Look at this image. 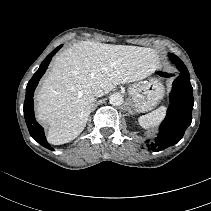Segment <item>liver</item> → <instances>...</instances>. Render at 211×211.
<instances>
[{
  "label": "liver",
  "instance_id": "liver-1",
  "mask_svg": "<svg viewBox=\"0 0 211 211\" xmlns=\"http://www.w3.org/2000/svg\"><path fill=\"white\" fill-rule=\"evenodd\" d=\"M158 69L151 48L82 41L59 54L36 93L37 120L48 125L54 145L74 140L85 128L98 87L142 80Z\"/></svg>",
  "mask_w": 211,
  "mask_h": 211
}]
</instances>
